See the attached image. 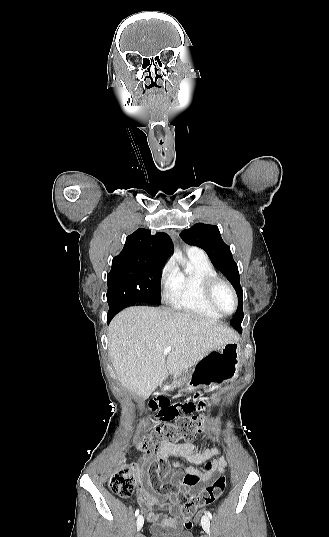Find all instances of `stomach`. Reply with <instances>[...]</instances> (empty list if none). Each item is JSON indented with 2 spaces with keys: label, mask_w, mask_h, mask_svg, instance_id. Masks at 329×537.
Masks as SVG:
<instances>
[{
  "label": "stomach",
  "mask_w": 329,
  "mask_h": 537,
  "mask_svg": "<svg viewBox=\"0 0 329 537\" xmlns=\"http://www.w3.org/2000/svg\"><path fill=\"white\" fill-rule=\"evenodd\" d=\"M240 360L241 345L239 340H231L218 348V350L211 351L202 358L182 383L186 384L188 390H193L196 386L227 381L237 375ZM178 381H180V376L174 377L172 382L166 385L165 388L168 390L174 389L179 386Z\"/></svg>",
  "instance_id": "obj_1"
}]
</instances>
